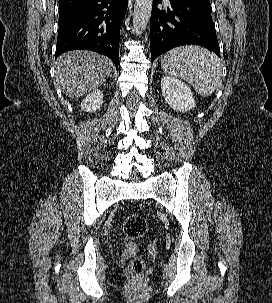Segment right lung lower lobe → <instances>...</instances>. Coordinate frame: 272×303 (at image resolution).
<instances>
[{"instance_id":"right-lung-lower-lobe-1","label":"right lung lower lobe","mask_w":272,"mask_h":303,"mask_svg":"<svg viewBox=\"0 0 272 303\" xmlns=\"http://www.w3.org/2000/svg\"><path fill=\"white\" fill-rule=\"evenodd\" d=\"M128 0H86L59 10L56 57L76 49L108 56L118 67L120 28Z\"/></svg>"}]
</instances>
